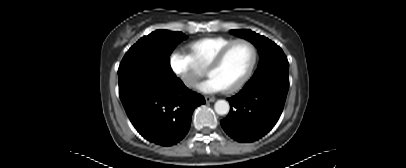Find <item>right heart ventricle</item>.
I'll return each mask as SVG.
<instances>
[{"mask_svg":"<svg viewBox=\"0 0 406 168\" xmlns=\"http://www.w3.org/2000/svg\"><path fill=\"white\" fill-rule=\"evenodd\" d=\"M233 38L217 36L205 37L187 45L190 56L202 68H205L216 53L233 41Z\"/></svg>","mask_w":406,"mask_h":168,"instance_id":"right-heart-ventricle-1","label":"right heart ventricle"}]
</instances>
